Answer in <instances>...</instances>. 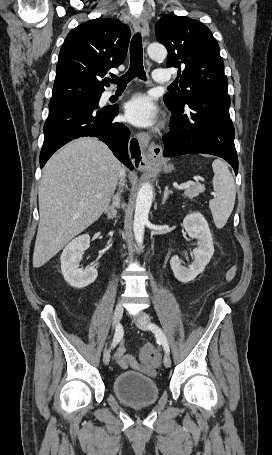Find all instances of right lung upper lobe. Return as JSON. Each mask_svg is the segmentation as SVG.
<instances>
[{
	"label": "right lung upper lobe",
	"instance_id": "right-lung-upper-lobe-1",
	"mask_svg": "<svg viewBox=\"0 0 272 455\" xmlns=\"http://www.w3.org/2000/svg\"><path fill=\"white\" fill-rule=\"evenodd\" d=\"M130 29L117 19L89 20L66 37L56 68L50 102L101 95L102 80L112 67L126 57Z\"/></svg>",
	"mask_w": 272,
	"mask_h": 455
}]
</instances>
